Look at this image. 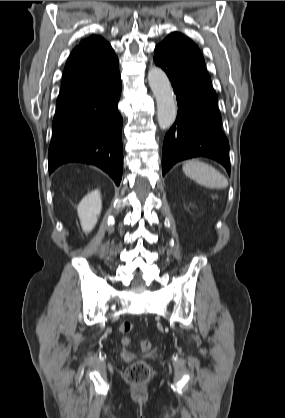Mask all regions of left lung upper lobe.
<instances>
[{
  "mask_svg": "<svg viewBox=\"0 0 285 418\" xmlns=\"http://www.w3.org/2000/svg\"><path fill=\"white\" fill-rule=\"evenodd\" d=\"M177 35H179V36H183L182 34H180V33H177V32H174V33H171V34H169L167 37H170V36H177ZM183 37H185V36H183ZM185 38H187V37H185ZM188 39V38H187ZM191 43H193L190 39H188ZM193 45L196 47V49L199 51V49H198V47L196 46V44L195 43H193ZM200 52V51H199Z\"/></svg>",
  "mask_w": 285,
  "mask_h": 418,
  "instance_id": "5c2ea615",
  "label": "left lung upper lobe"
}]
</instances>
